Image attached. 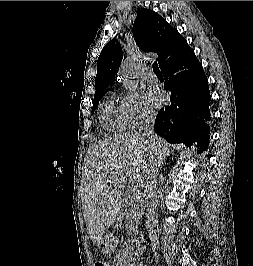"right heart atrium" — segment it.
Returning <instances> with one entry per match:
<instances>
[{
    "label": "right heart atrium",
    "mask_w": 253,
    "mask_h": 266,
    "mask_svg": "<svg viewBox=\"0 0 253 266\" xmlns=\"http://www.w3.org/2000/svg\"><path fill=\"white\" fill-rule=\"evenodd\" d=\"M120 106L130 125L137 126L147 122L154 115L153 108L140 92L126 94Z\"/></svg>",
    "instance_id": "obj_1"
}]
</instances>
